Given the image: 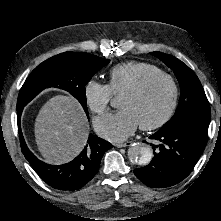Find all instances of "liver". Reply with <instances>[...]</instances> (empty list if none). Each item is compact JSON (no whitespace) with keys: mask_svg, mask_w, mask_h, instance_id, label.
I'll list each match as a JSON object with an SVG mask.
<instances>
[{"mask_svg":"<svg viewBox=\"0 0 221 221\" xmlns=\"http://www.w3.org/2000/svg\"><path fill=\"white\" fill-rule=\"evenodd\" d=\"M34 133L44 161L59 165L71 161L82 151L89 124L81 105L73 97L57 95L40 109Z\"/></svg>","mask_w":221,"mask_h":221,"instance_id":"obj_1","label":"liver"}]
</instances>
